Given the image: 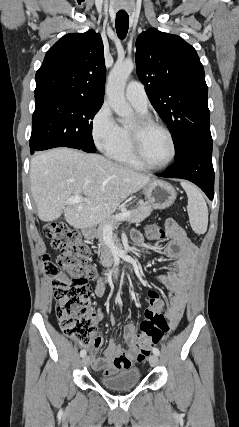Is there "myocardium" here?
<instances>
[{
  "instance_id": "myocardium-1",
  "label": "myocardium",
  "mask_w": 239,
  "mask_h": 427,
  "mask_svg": "<svg viewBox=\"0 0 239 427\" xmlns=\"http://www.w3.org/2000/svg\"><path fill=\"white\" fill-rule=\"evenodd\" d=\"M151 128H157L163 131L169 138L172 146V154L171 157L162 164H151L146 160L143 154L142 143H143V135L144 133ZM129 140L131 145V150L136 158V160L145 168L148 169H162L170 165L177 156V144L172 132L163 124L155 121L151 117L140 114L136 118V123L132 127H128Z\"/></svg>"
}]
</instances>
